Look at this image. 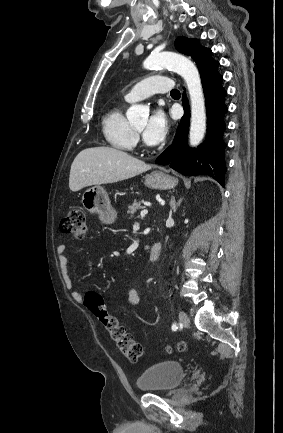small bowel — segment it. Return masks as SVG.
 <instances>
[{
    "label": "small bowel",
    "mask_w": 283,
    "mask_h": 433,
    "mask_svg": "<svg viewBox=\"0 0 283 433\" xmlns=\"http://www.w3.org/2000/svg\"><path fill=\"white\" fill-rule=\"evenodd\" d=\"M57 260L59 267L63 276L64 283L68 289L73 288V282L69 274V260L67 256V246L61 244L56 249ZM72 299L77 303H82L84 301L83 295L77 291L73 290L71 293ZM128 301L133 306H138L141 303L140 289L137 285L133 284L128 288L127 291Z\"/></svg>",
    "instance_id": "obj_1"
}]
</instances>
